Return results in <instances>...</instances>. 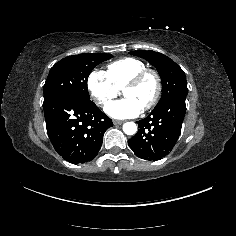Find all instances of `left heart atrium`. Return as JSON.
<instances>
[{
  "label": "left heart atrium",
  "instance_id": "39dd6f15",
  "mask_svg": "<svg viewBox=\"0 0 236 236\" xmlns=\"http://www.w3.org/2000/svg\"><path fill=\"white\" fill-rule=\"evenodd\" d=\"M142 111L143 107L130 98L110 103L106 108L107 114L115 119L134 118L140 115Z\"/></svg>",
  "mask_w": 236,
  "mask_h": 236
}]
</instances>
